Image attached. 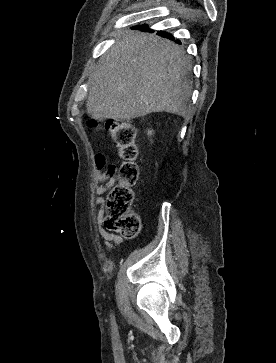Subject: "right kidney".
Wrapping results in <instances>:
<instances>
[{"mask_svg":"<svg viewBox=\"0 0 276 363\" xmlns=\"http://www.w3.org/2000/svg\"><path fill=\"white\" fill-rule=\"evenodd\" d=\"M152 130H148V135L151 136L152 135Z\"/></svg>","mask_w":276,"mask_h":363,"instance_id":"ca27d5eb","label":"right kidney"}]
</instances>
